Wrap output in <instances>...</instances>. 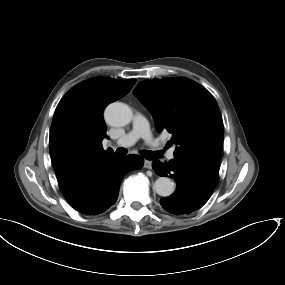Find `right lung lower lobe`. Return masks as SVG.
Returning a JSON list of instances; mask_svg holds the SVG:
<instances>
[{
  "mask_svg": "<svg viewBox=\"0 0 285 285\" xmlns=\"http://www.w3.org/2000/svg\"><path fill=\"white\" fill-rule=\"evenodd\" d=\"M143 165L144 159L138 155L116 158L90 174L65 199L81 214H101L116 202L124 175Z\"/></svg>",
  "mask_w": 285,
  "mask_h": 285,
  "instance_id": "obj_1",
  "label": "right lung lower lobe"
}]
</instances>
